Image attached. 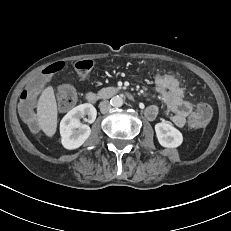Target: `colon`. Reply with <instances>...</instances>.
<instances>
[{
  "instance_id": "obj_1",
  "label": "colon",
  "mask_w": 231,
  "mask_h": 231,
  "mask_svg": "<svg viewBox=\"0 0 231 231\" xmlns=\"http://www.w3.org/2000/svg\"><path fill=\"white\" fill-rule=\"evenodd\" d=\"M64 67L62 62H57L49 65L45 68L43 72L36 75L35 81H30L26 85V89L22 92L20 97L19 108L22 116L28 121L30 125H34V106L37 96L40 94L41 90H46L50 86V77ZM93 68V61L89 59L80 60L75 64V70L80 78H85ZM156 78V75H153ZM161 82H167L176 87V89L181 90V92L186 93L189 90L188 85L183 84L180 79L176 78L174 75H157ZM58 106L61 111L70 110L77 101V92L75 88L71 85H62L59 88L57 94ZM212 108L209 104L205 102H198L196 104L195 114L190 118L189 124L194 127H203L211 119Z\"/></svg>"
}]
</instances>
